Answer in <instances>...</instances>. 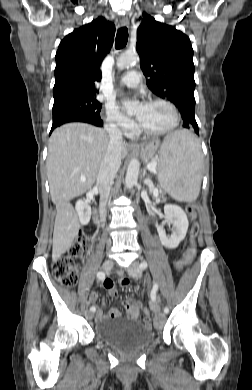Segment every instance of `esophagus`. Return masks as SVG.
<instances>
[{"instance_id":"34e87169","label":"esophagus","mask_w":252,"mask_h":390,"mask_svg":"<svg viewBox=\"0 0 252 390\" xmlns=\"http://www.w3.org/2000/svg\"><path fill=\"white\" fill-rule=\"evenodd\" d=\"M120 24H121L122 27H129V24H130L129 19L127 17H123L121 19V21H120ZM130 147L134 148L135 145L134 144H130Z\"/></svg>"}]
</instances>
